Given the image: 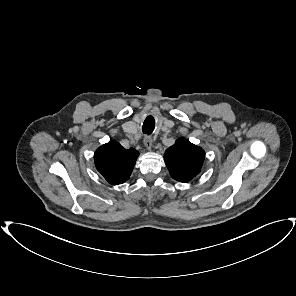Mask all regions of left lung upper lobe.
<instances>
[{
	"instance_id": "obj_1",
	"label": "left lung upper lobe",
	"mask_w": 296,
	"mask_h": 296,
	"mask_svg": "<svg viewBox=\"0 0 296 296\" xmlns=\"http://www.w3.org/2000/svg\"><path fill=\"white\" fill-rule=\"evenodd\" d=\"M205 152L202 148L181 137L164 154L171 177L187 183L200 173Z\"/></svg>"
}]
</instances>
